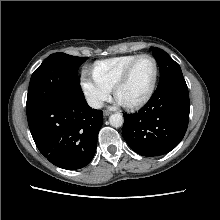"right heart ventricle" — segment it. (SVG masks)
I'll return each instance as SVG.
<instances>
[{
  "label": "right heart ventricle",
  "mask_w": 220,
  "mask_h": 220,
  "mask_svg": "<svg viewBox=\"0 0 220 220\" xmlns=\"http://www.w3.org/2000/svg\"><path fill=\"white\" fill-rule=\"evenodd\" d=\"M138 56L130 54L97 61L93 66V74L101 83L112 89L128 65Z\"/></svg>",
  "instance_id": "right-heart-ventricle-1"
}]
</instances>
